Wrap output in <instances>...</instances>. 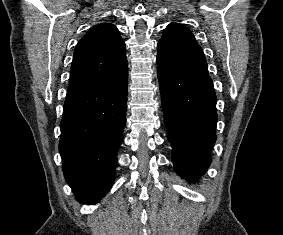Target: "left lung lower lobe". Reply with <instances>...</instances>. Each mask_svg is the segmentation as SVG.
<instances>
[{
	"label": "left lung lower lobe",
	"instance_id": "1",
	"mask_svg": "<svg viewBox=\"0 0 283 235\" xmlns=\"http://www.w3.org/2000/svg\"><path fill=\"white\" fill-rule=\"evenodd\" d=\"M157 73L174 169L183 178L195 180L207 170L216 141L212 79L160 64Z\"/></svg>",
	"mask_w": 283,
	"mask_h": 235
}]
</instances>
